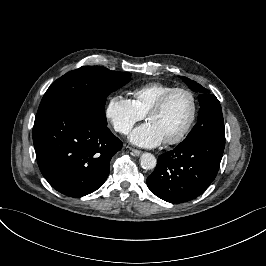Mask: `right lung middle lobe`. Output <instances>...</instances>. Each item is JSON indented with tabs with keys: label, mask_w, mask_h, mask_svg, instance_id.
Segmentation results:
<instances>
[{
	"label": "right lung middle lobe",
	"mask_w": 266,
	"mask_h": 266,
	"mask_svg": "<svg viewBox=\"0 0 266 266\" xmlns=\"http://www.w3.org/2000/svg\"><path fill=\"white\" fill-rule=\"evenodd\" d=\"M131 74L100 66H84L53 82L43 96L38 113L57 104H73L87 109L100 123L107 125V96L127 84Z\"/></svg>",
	"instance_id": "1"
}]
</instances>
